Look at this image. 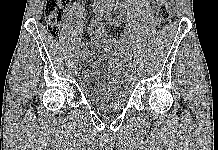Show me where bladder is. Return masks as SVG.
<instances>
[{
    "mask_svg": "<svg viewBox=\"0 0 218 150\" xmlns=\"http://www.w3.org/2000/svg\"><path fill=\"white\" fill-rule=\"evenodd\" d=\"M79 81L85 97L101 108L120 109L131 94L116 44L104 37L89 42Z\"/></svg>",
    "mask_w": 218,
    "mask_h": 150,
    "instance_id": "bladder-1",
    "label": "bladder"
}]
</instances>
